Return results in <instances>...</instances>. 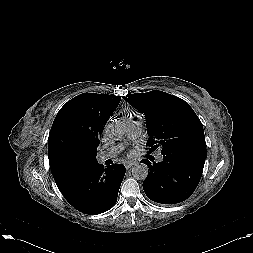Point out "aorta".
I'll list each match as a JSON object with an SVG mask.
<instances>
[{"instance_id": "aorta-1", "label": "aorta", "mask_w": 253, "mask_h": 253, "mask_svg": "<svg viewBox=\"0 0 253 253\" xmlns=\"http://www.w3.org/2000/svg\"><path fill=\"white\" fill-rule=\"evenodd\" d=\"M105 131L111 138H122L126 133V125L121 121H113L106 126ZM148 173L149 168L144 163H136L132 167V175L137 180H145Z\"/></svg>"}]
</instances>
